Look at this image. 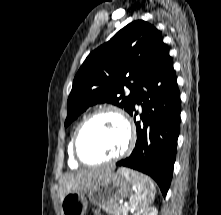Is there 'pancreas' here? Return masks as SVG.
<instances>
[{"mask_svg":"<svg viewBox=\"0 0 221 215\" xmlns=\"http://www.w3.org/2000/svg\"><path fill=\"white\" fill-rule=\"evenodd\" d=\"M106 212H109L112 215H127L128 214V208L121 207L117 203L113 204L111 206H102Z\"/></svg>","mask_w":221,"mask_h":215,"instance_id":"pancreas-1","label":"pancreas"}]
</instances>
